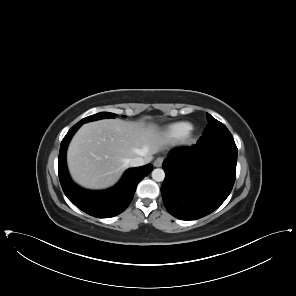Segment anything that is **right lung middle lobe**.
Returning <instances> with one entry per match:
<instances>
[{"mask_svg": "<svg viewBox=\"0 0 296 296\" xmlns=\"http://www.w3.org/2000/svg\"><path fill=\"white\" fill-rule=\"evenodd\" d=\"M113 117H115V114L113 113L101 112L82 119L81 121L78 122V124L82 125L83 123H86L89 121H94V120L103 119V118H113Z\"/></svg>", "mask_w": 296, "mask_h": 296, "instance_id": "obj_1", "label": "right lung middle lobe"}]
</instances>
